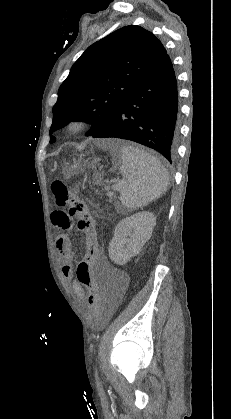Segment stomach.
Instances as JSON below:
<instances>
[{
  "label": "stomach",
  "mask_w": 231,
  "mask_h": 419,
  "mask_svg": "<svg viewBox=\"0 0 231 419\" xmlns=\"http://www.w3.org/2000/svg\"><path fill=\"white\" fill-rule=\"evenodd\" d=\"M72 168H73L75 171H79V170L82 168V164H81L80 162L75 163V164L72 166Z\"/></svg>",
  "instance_id": "obj_1"
}]
</instances>
